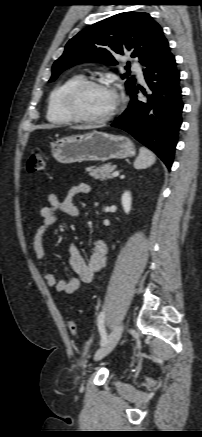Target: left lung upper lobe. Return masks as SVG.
I'll return each mask as SVG.
<instances>
[{
  "mask_svg": "<svg viewBox=\"0 0 202 437\" xmlns=\"http://www.w3.org/2000/svg\"><path fill=\"white\" fill-rule=\"evenodd\" d=\"M167 45L162 28L148 13H120L87 27L69 40L63 55L53 64L49 81H54L67 68L84 62L116 65L114 56L126 52L133 58L138 57L147 67ZM128 75L121 77L126 78L125 86L130 94L136 79Z\"/></svg>",
  "mask_w": 202,
  "mask_h": 437,
  "instance_id": "5c2ea615",
  "label": "left lung upper lobe"
}]
</instances>
